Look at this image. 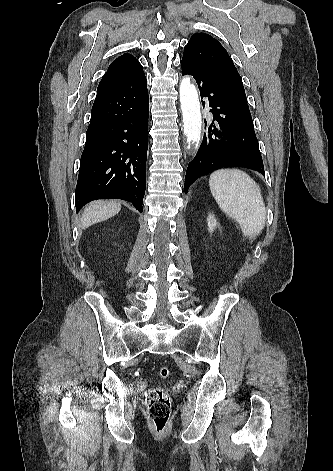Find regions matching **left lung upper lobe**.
I'll use <instances>...</instances> for the list:
<instances>
[{
  "mask_svg": "<svg viewBox=\"0 0 333 471\" xmlns=\"http://www.w3.org/2000/svg\"><path fill=\"white\" fill-rule=\"evenodd\" d=\"M183 58L191 59L208 70L248 112L242 79L225 48L212 36L195 33L184 47Z\"/></svg>",
  "mask_w": 333,
  "mask_h": 471,
  "instance_id": "left-lung-upper-lobe-1",
  "label": "left lung upper lobe"
}]
</instances>
